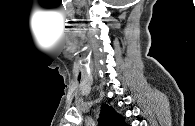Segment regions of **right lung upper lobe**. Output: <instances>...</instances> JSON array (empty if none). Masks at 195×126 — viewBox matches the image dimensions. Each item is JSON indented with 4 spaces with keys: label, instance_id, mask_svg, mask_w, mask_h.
<instances>
[{
    "label": "right lung upper lobe",
    "instance_id": "1",
    "mask_svg": "<svg viewBox=\"0 0 195 126\" xmlns=\"http://www.w3.org/2000/svg\"><path fill=\"white\" fill-rule=\"evenodd\" d=\"M99 122L106 126H127L124 118L119 115L114 108L107 104L102 105Z\"/></svg>",
    "mask_w": 195,
    "mask_h": 126
}]
</instances>
